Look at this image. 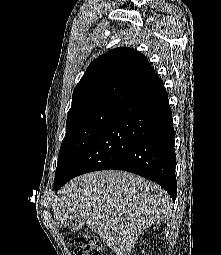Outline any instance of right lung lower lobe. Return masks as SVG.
<instances>
[{
  "instance_id": "98d812e1",
  "label": "right lung lower lobe",
  "mask_w": 221,
  "mask_h": 255,
  "mask_svg": "<svg viewBox=\"0 0 221 255\" xmlns=\"http://www.w3.org/2000/svg\"><path fill=\"white\" fill-rule=\"evenodd\" d=\"M175 164L172 112L166 89L158 79L119 105L53 190L87 172L118 169L158 183L174 201Z\"/></svg>"
}]
</instances>
